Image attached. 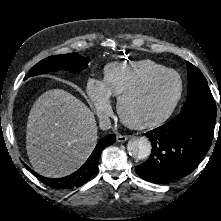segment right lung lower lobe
<instances>
[{
	"mask_svg": "<svg viewBox=\"0 0 221 221\" xmlns=\"http://www.w3.org/2000/svg\"><path fill=\"white\" fill-rule=\"evenodd\" d=\"M116 141V136L114 134H109L102 138L96 145L92 154L89 156L84 165L78 169L76 172L62 177V178H46L43 177L33 170L31 172L44 184L56 189H72L77 188L85 184L91 179L97 170L98 162L103 149Z\"/></svg>",
	"mask_w": 221,
	"mask_h": 221,
	"instance_id": "obj_1",
	"label": "right lung lower lobe"
}]
</instances>
